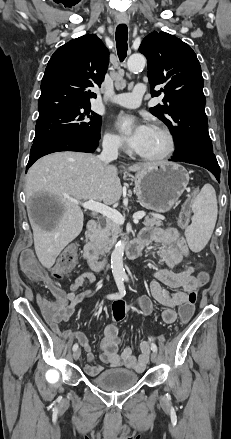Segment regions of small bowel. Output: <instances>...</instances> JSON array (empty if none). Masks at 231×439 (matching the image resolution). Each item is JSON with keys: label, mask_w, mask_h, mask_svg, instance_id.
I'll list each match as a JSON object with an SVG mask.
<instances>
[{"label": "small bowel", "mask_w": 231, "mask_h": 439, "mask_svg": "<svg viewBox=\"0 0 231 439\" xmlns=\"http://www.w3.org/2000/svg\"><path fill=\"white\" fill-rule=\"evenodd\" d=\"M139 239L145 245L152 243L160 245V256L165 268L154 271L155 279L150 283L149 288L152 297L166 307L162 313L163 321L165 323H174L179 317L180 303L185 301L188 293H192V289L195 288L198 291L199 285H202L201 282L197 281L192 266H187L180 272L173 271V268L180 266L189 255L188 245L175 228H146L141 232ZM94 282L95 275L92 272H84L70 284L68 291L59 290L55 298L57 304L56 317L48 320L51 329L55 333L66 338L79 340L86 351L88 361L84 369L91 376L98 375L103 367L100 364H90L93 360V354L91 353L88 337L82 332L61 331L59 323L68 321L74 314L76 305L95 293L93 289L78 293L82 286ZM167 288L174 289L175 292L171 293ZM127 310L148 316L153 313L154 306L148 296H141L134 303L127 305ZM153 341L154 337H150L141 342V354L138 357L133 355V350L130 347H125L120 351L119 329L116 324H108L103 330L99 359L102 363H106L111 367L124 366L127 369L142 372L148 363L150 344Z\"/></svg>", "instance_id": "c3829d8e"}]
</instances>
